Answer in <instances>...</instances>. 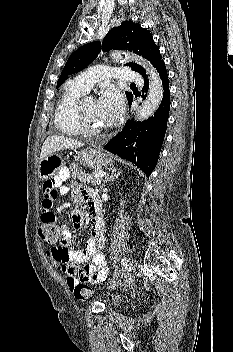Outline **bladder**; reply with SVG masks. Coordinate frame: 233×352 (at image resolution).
Returning a JSON list of instances; mask_svg holds the SVG:
<instances>
[{
    "instance_id": "obj_1",
    "label": "bladder",
    "mask_w": 233,
    "mask_h": 352,
    "mask_svg": "<svg viewBox=\"0 0 233 352\" xmlns=\"http://www.w3.org/2000/svg\"><path fill=\"white\" fill-rule=\"evenodd\" d=\"M112 304H116L118 302V298L116 296L111 298Z\"/></svg>"
}]
</instances>
